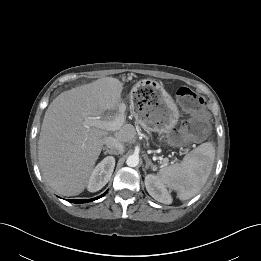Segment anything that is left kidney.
<instances>
[{"label": "left kidney", "instance_id": "5707ae66", "mask_svg": "<svg viewBox=\"0 0 261 261\" xmlns=\"http://www.w3.org/2000/svg\"><path fill=\"white\" fill-rule=\"evenodd\" d=\"M145 187L147 192L158 202L164 204L172 203L171 195L156 175L148 174L145 177Z\"/></svg>", "mask_w": 261, "mask_h": 261}]
</instances>
